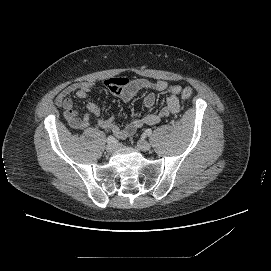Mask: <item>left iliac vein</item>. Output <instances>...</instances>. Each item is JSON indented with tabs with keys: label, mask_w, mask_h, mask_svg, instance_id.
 <instances>
[{
	"label": "left iliac vein",
	"mask_w": 271,
	"mask_h": 271,
	"mask_svg": "<svg viewBox=\"0 0 271 271\" xmlns=\"http://www.w3.org/2000/svg\"><path fill=\"white\" fill-rule=\"evenodd\" d=\"M137 146L142 151H148L151 149V145L147 141L142 139L137 142Z\"/></svg>",
	"instance_id": "obj_1"
}]
</instances>
